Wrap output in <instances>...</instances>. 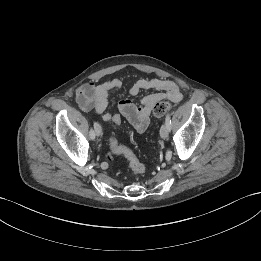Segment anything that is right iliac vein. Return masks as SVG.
I'll return each instance as SVG.
<instances>
[{
	"label": "right iliac vein",
	"mask_w": 261,
	"mask_h": 261,
	"mask_svg": "<svg viewBox=\"0 0 261 261\" xmlns=\"http://www.w3.org/2000/svg\"><path fill=\"white\" fill-rule=\"evenodd\" d=\"M95 133L97 136H101L102 135V128L101 126L98 124L95 128Z\"/></svg>",
	"instance_id": "1"
}]
</instances>
